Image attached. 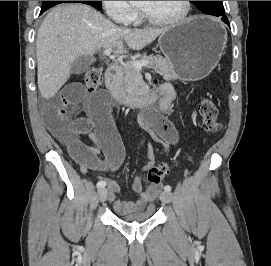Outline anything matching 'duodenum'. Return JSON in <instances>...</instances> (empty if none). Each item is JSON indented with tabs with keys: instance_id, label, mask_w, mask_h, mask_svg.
I'll list each match as a JSON object with an SVG mask.
<instances>
[{
	"instance_id": "410a0bca",
	"label": "duodenum",
	"mask_w": 271,
	"mask_h": 266,
	"mask_svg": "<svg viewBox=\"0 0 271 266\" xmlns=\"http://www.w3.org/2000/svg\"><path fill=\"white\" fill-rule=\"evenodd\" d=\"M121 75L122 72L118 65L110 66L105 74L106 87L118 103L125 105L133 101L140 106L155 104L159 96V93L156 91H151L137 98L127 95L121 87Z\"/></svg>"
}]
</instances>
